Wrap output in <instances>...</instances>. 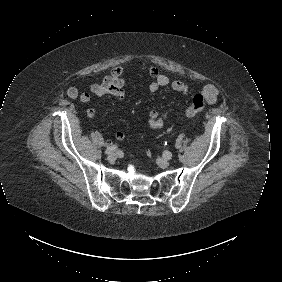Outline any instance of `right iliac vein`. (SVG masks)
<instances>
[{
    "instance_id": "obj_1",
    "label": "right iliac vein",
    "mask_w": 282,
    "mask_h": 282,
    "mask_svg": "<svg viewBox=\"0 0 282 282\" xmlns=\"http://www.w3.org/2000/svg\"><path fill=\"white\" fill-rule=\"evenodd\" d=\"M108 161L113 162L116 160V154L110 153L107 157Z\"/></svg>"
}]
</instances>
